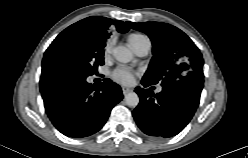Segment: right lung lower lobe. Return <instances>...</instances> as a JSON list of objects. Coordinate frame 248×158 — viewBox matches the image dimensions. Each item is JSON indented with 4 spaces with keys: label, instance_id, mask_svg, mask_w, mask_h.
<instances>
[{
    "label": "right lung lower lobe",
    "instance_id": "right-lung-lower-lobe-1",
    "mask_svg": "<svg viewBox=\"0 0 248 158\" xmlns=\"http://www.w3.org/2000/svg\"><path fill=\"white\" fill-rule=\"evenodd\" d=\"M40 91L53 125L69 137H86L99 131L111 109L123 98L110 79L98 86L69 76L41 77Z\"/></svg>",
    "mask_w": 248,
    "mask_h": 158
}]
</instances>
